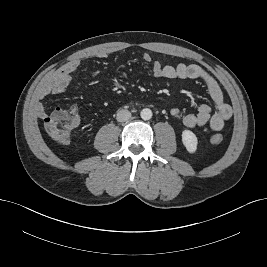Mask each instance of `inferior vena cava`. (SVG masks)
Instances as JSON below:
<instances>
[{
    "mask_svg": "<svg viewBox=\"0 0 267 267\" xmlns=\"http://www.w3.org/2000/svg\"><path fill=\"white\" fill-rule=\"evenodd\" d=\"M130 118H131V113L130 111L126 109H122L118 111L117 117H116L118 122H125V121H128Z\"/></svg>",
    "mask_w": 267,
    "mask_h": 267,
    "instance_id": "1",
    "label": "inferior vena cava"
}]
</instances>
